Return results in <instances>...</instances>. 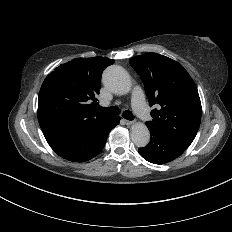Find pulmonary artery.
<instances>
[{"label":"pulmonary artery","mask_w":232,"mask_h":232,"mask_svg":"<svg viewBox=\"0 0 232 232\" xmlns=\"http://www.w3.org/2000/svg\"><path fill=\"white\" fill-rule=\"evenodd\" d=\"M143 101L144 95L142 93H137L135 95L134 108L139 116L146 117L148 115V110L144 108Z\"/></svg>","instance_id":"pulmonary-artery-1"}]
</instances>
